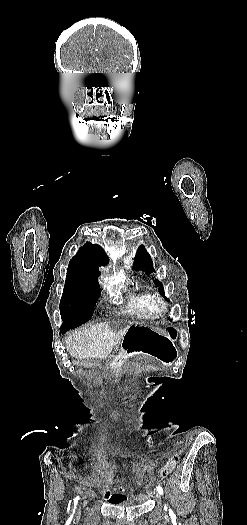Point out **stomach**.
Segmentation results:
<instances>
[{
	"label": "stomach",
	"mask_w": 247,
	"mask_h": 525,
	"mask_svg": "<svg viewBox=\"0 0 247 525\" xmlns=\"http://www.w3.org/2000/svg\"><path fill=\"white\" fill-rule=\"evenodd\" d=\"M176 331H157L150 326L133 325L124 337L129 351L148 356L164 367L171 366L177 358Z\"/></svg>",
	"instance_id": "obj_1"
}]
</instances>
